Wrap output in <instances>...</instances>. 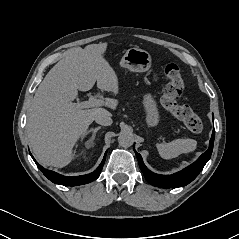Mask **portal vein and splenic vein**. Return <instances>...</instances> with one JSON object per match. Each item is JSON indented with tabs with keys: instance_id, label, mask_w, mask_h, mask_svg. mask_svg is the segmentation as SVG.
<instances>
[{
	"instance_id": "1",
	"label": "portal vein and splenic vein",
	"mask_w": 239,
	"mask_h": 239,
	"mask_svg": "<svg viewBox=\"0 0 239 239\" xmlns=\"http://www.w3.org/2000/svg\"><path fill=\"white\" fill-rule=\"evenodd\" d=\"M103 105H105V101L101 99H97L95 96H90L88 101L74 103V106L77 109L98 107Z\"/></svg>"
}]
</instances>
